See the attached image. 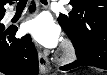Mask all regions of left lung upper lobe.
Here are the masks:
<instances>
[{
	"instance_id": "5c2ea615",
	"label": "left lung upper lobe",
	"mask_w": 107,
	"mask_h": 75,
	"mask_svg": "<svg viewBox=\"0 0 107 75\" xmlns=\"http://www.w3.org/2000/svg\"><path fill=\"white\" fill-rule=\"evenodd\" d=\"M70 5L72 10L68 15L60 14L58 22L73 42L77 57H87L92 52L86 38L90 27L99 20L107 24V0H70Z\"/></svg>"
}]
</instances>
